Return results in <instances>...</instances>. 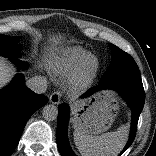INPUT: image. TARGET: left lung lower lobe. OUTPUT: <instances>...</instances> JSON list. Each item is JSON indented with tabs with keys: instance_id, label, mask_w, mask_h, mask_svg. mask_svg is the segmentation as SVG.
<instances>
[{
	"instance_id": "obj_1",
	"label": "left lung lower lobe",
	"mask_w": 156,
	"mask_h": 156,
	"mask_svg": "<svg viewBox=\"0 0 156 156\" xmlns=\"http://www.w3.org/2000/svg\"><path fill=\"white\" fill-rule=\"evenodd\" d=\"M114 89L119 91L126 102L132 109V127L130 138L121 154L131 145L135 138L137 123L140 113L143 109L145 102V92L141 80L129 79H114L104 80L99 82L95 87L90 88L82 97L91 95L100 89ZM69 120V107L65 103L61 104L58 108V122H57V145L62 156H76L71 150L67 138V126ZM120 156V155H119Z\"/></svg>"
}]
</instances>
